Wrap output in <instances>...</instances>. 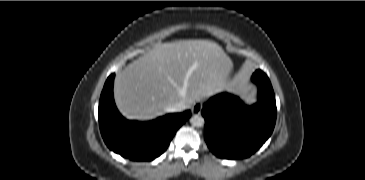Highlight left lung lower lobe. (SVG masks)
Here are the masks:
<instances>
[{"instance_id": "obj_1", "label": "left lung lower lobe", "mask_w": 365, "mask_h": 180, "mask_svg": "<svg viewBox=\"0 0 365 180\" xmlns=\"http://www.w3.org/2000/svg\"><path fill=\"white\" fill-rule=\"evenodd\" d=\"M252 81L258 86V101L249 106L223 93L203 105L204 137L218 157L241 159L256 152L270 137L276 122V101L267 75L257 70Z\"/></svg>"}]
</instances>
